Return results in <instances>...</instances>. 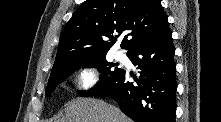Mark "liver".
Returning <instances> with one entry per match:
<instances>
[{"mask_svg": "<svg viewBox=\"0 0 221 122\" xmlns=\"http://www.w3.org/2000/svg\"><path fill=\"white\" fill-rule=\"evenodd\" d=\"M60 122H131L117 107L94 98H75L66 104Z\"/></svg>", "mask_w": 221, "mask_h": 122, "instance_id": "obj_1", "label": "liver"}]
</instances>
